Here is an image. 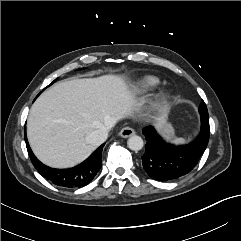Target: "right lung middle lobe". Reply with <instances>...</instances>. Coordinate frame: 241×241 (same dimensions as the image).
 <instances>
[{"mask_svg": "<svg viewBox=\"0 0 241 241\" xmlns=\"http://www.w3.org/2000/svg\"><path fill=\"white\" fill-rule=\"evenodd\" d=\"M55 81H56V80H54L52 83H54ZM52 83H51V84H52ZM51 84H50V85H51Z\"/></svg>", "mask_w": 241, "mask_h": 241, "instance_id": "obj_1", "label": "right lung middle lobe"}]
</instances>
